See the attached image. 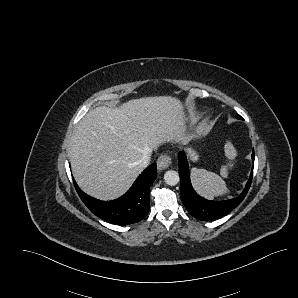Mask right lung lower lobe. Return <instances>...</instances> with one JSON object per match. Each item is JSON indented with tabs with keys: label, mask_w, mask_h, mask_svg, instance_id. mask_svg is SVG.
Masks as SVG:
<instances>
[{
	"label": "right lung lower lobe",
	"mask_w": 298,
	"mask_h": 298,
	"mask_svg": "<svg viewBox=\"0 0 298 298\" xmlns=\"http://www.w3.org/2000/svg\"><path fill=\"white\" fill-rule=\"evenodd\" d=\"M156 163H152L136 179L129 191L113 201H100L85 194L74 181L76 191L89 208L101 219L116 225H129L142 220L149 212L150 185L156 179Z\"/></svg>",
	"instance_id": "right-lung-lower-lobe-1"
}]
</instances>
